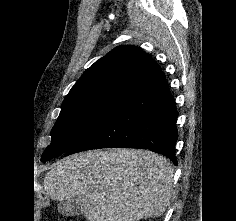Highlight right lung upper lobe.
Segmentation results:
<instances>
[{
	"mask_svg": "<svg viewBox=\"0 0 236 221\" xmlns=\"http://www.w3.org/2000/svg\"><path fill=\"white\" fill-rule=\"evenodd\" d=\"M163 76L152 57L133 45H121L87 69L65 97L66 103L93 92H138Z\"/></svg>",
	"mask_w": 236,
	"mask_h": 221,
	"instance_id": "obj_1",
	"label": "right lung upper lobe"
}]
</instances>
